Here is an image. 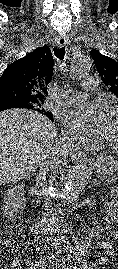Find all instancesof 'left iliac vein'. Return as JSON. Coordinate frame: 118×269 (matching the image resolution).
<instances>
[{"instance_id": "left-iliac-vein-1", "label": "left iliac vein", "mask_w": 118, "mask_h": 269, "mask_svg": "<svg viewBox=\"0 0 118 269\" xmlns=\"http://www.w3.org/2000/svg\"><path fill=\"white\" fill-rule=\"evenodd\" d=\"M62 269H69V268H68L67 266H64V265H63V266H62Z\"/></svg>"}]
</instances>
